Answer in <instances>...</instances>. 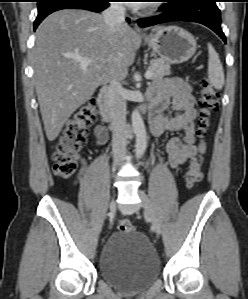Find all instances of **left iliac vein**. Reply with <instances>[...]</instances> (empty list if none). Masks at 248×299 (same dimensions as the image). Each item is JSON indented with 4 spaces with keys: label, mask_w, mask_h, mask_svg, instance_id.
Instances as JSON below:
<instances>
[{
    "label": "left iliac vein",
    "mask_w": 248,
    "mask_h": 299,
    "mask_svg": "<svg viewBox=\"0 0 248 299\" xmlns=\"http://www.w3.org/2000/svg\"><path fill=\"white\" fill-rule=\"evenodd\" d=\"M137 193H138V196L141 200V206L143 207L144 211L146 212V214L150 218L153 229L155 230V232L157 234H160L161 233L160 220H159V218H158V216H157V214H156L149 198L147 197L145 192L142 191L141 189H138Z\"/></svg>",
    "instance_id": "1"
}]
</instances>
